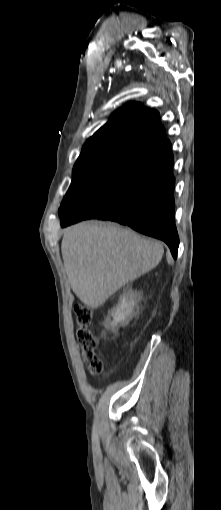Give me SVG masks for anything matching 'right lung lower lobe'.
Listing matches in <instances>:
<instances>
[{
	"mask_svg": "<svg viewBox=\"0 0 221 510\" xmlns=\"http://www.w3.org/2000/svg\"><path fill=\"white\" fill-rule=\"evenodd\" d=\"M173 163L171 144H168L146 160L115 207L92 214L85 204H80L70 215L61 217L62 226L90 218L115 221L164 241L176 259L179 238L174 219Z\"/></svg>",
	"mask_w": 221,
	"mask_h": 510,
	"instance_id": "right-lung-lower-lobe-1",
	"label": "right lung lower lobe"
}]
</instances>
